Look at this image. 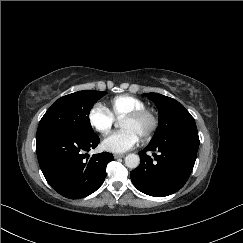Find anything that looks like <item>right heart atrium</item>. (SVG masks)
<instances>
[{
    "label": "right heart atrium",
    "instance_id": "1",
    "mask_svg": "<svg viewBox=\"0 0 243 243\" xmlns=\"http://www.w3.org/2000/svg\"><path fill=\"white\" fill-rule=\"evenodd\" d=\"M87 120L95 131L102 134L109 132L115 122L110 111L101 104H95L89 109Z\"/></svg>",
    "mask_w": 243,
    "mask_h": 243
}]
</instances>
